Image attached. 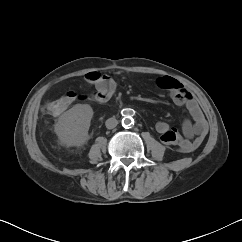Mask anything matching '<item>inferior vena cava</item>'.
<instances>
[{"label":"inferior vena cava","mask_w":242,"mask_h":242,"mask_svg":"<svg viewBox=\"0 0 242 242\" xmlns=\"http://www.w3.org/2000/svg\"><path fill=\"white\" fill-rule=\"evenodd\" d=\"M105 125L107 129H113L118 125V121L112 117L106 120Z\"/></svg>","instance_id":"inferior-vena-cava-1"}]
</instances>
